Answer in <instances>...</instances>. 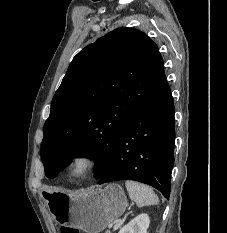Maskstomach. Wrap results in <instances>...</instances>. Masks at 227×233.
<instances>
[{
	"instance_id": "obj_1",
	"label": "stomach",
	"mask_w": 227,
	"mask_h": 233,
	"mask_svg": "<svg viewBox=\"0 0 227 233\" xmlns=\"http://www.w3.org/2000/svg\"><path fill=\"white\" fill-rule=\"evenodd\" d=\"M46 198L53 218L60 225L76 227L87 233L104 230L128 206L123 188L116 184L83 194L50 190L46 193Z\"/></svg>"
}]
</instances>
